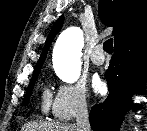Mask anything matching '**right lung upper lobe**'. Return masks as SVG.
Instances as JSON below:
<instances>
[{"label":"right lung upper lobe","mask_w":147,"mask_h":131,"mask_svg":"<svg viewBox=\"0 0 147 131\" xmlns=\"http://www.w3.org/2000/svg\"><path fill=\"white\" fill-rule=\"evenodd\" d=\"M99 14L103 23L113 27L115 45L133 38L147 28L146 0H100ZM63 16L53 25L33 73L40 71L48 48L63 25Z\"/></svg>","instance_id":"cb5924a9"}]
</instances>
